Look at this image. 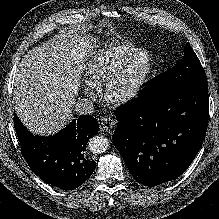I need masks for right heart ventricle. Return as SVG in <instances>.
Listing matches in <instances>:
<instances>
[{"label":"right heart ventricle","instance_id":"right-heart-ventricle-1","mask_svg":"<svg viewBox=\"0 0 219 219\" xmlns=\"http://www.w3.org/2000/svg\"><path fill=\"white\" fill-rule=\"evenodd\" d=\"M138 50L131 44H113L93 52L83 67L86 84L92 88L103 85L117 64Z\"/></svg>","mask_w":219,"mask_h":219}]
</instances>
